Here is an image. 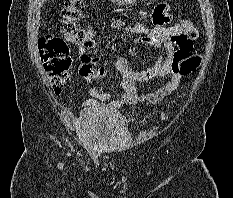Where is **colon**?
<instances>
[{
  "instance_id": "colon-1",
  "label": "colon",
  "mask_w": 233,
  "mask_h": 198,
  "mask_svg": "<svg viewBox=\"0 0 233 198\" xmlns=\"http://www.w3.org/2000/svg\"><path fill=\"white\" fill-rule=\"evenodd\" d=\"M62 2L64 5L63 19L57 23V29L64 34L68 42L86 48L92 47L95 41L94 31L81 29L78 26L84 11V1L62 0ZM179 24L185 30L187 40L192 45V40L198 37L197 28L187 20H181ZM186 46L189 47V44ZM38 50L52 89L60 93L71 77L72 60L66 41L48 32L39 37ZM200 62L201 58L196 54L179 53L175 57L174 69L182 76L190 75L198 68Z\"/></svg>"
}]
</instances>
